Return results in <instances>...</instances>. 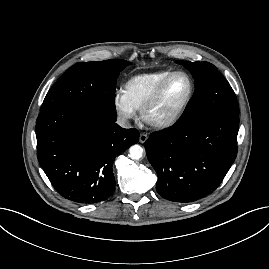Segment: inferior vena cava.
<instances>
[{
	"label": "inferior vena cava",
	"instance_id": "602c4592",
	"mask_svg": "<svg viewBox=\"0 0 269 269\" xmlns=\"http://www.w3.org/2000/svg\"><path fill=\"white\" fill-rule=\"evenodd\" d=\"M117 124L119 126H121L122 128H130L131 127L129 121L126 118H122V117H119L117 119Z\"/></svg>",
	"mask_w": 269,
	"mask_h": 269
}]
</instances>
